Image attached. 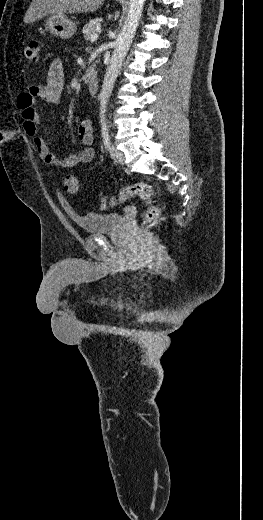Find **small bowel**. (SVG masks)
<instances>
[{
	"label": "small bowel",
	"instance_id": "1",
	"mask_svg": "<svg viewBox=\"0 0 263 520\" xmlns=\"http://www.w3.org/2000/svg\"><path fill=\"white\" fill-rule=\"evenodd\" d=\"M64 68L60 59H55L47 72L42 84L33 85L18 96V107L23 118L25 133L33 138V143L39 157L47 164L60 168H71L80 163H88L93 160L95 151L91 147L93 143V124L89 119L83 120L78 126V138L84 148L74 154L64 157L54 155L44 139L38 136L40 115L36 109V99H43L51 103H58L64 88Z\"/></svg>",
	"mask_w": 263,
	"mask_h": 520
}]
</instances>
